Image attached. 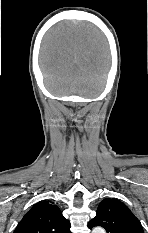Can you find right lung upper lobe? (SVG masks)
<instances>
[{
    "label": "right lung upper lobe",
    "instance_id": "cb5924a9",
    "mask_svg": "<svg viewBox=\"0 0 148 233\" xmlns=\"http://www.w3.org/2000/svg\"><path fill=\"white\" fill-rule=\"evenodd\" d=\"M70 222L51 201L35 204L19 222L14 233H71Z\"/></svg>",
    "mask_w": 148,
    "mask_h": 233
}]
</instances>
